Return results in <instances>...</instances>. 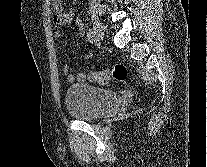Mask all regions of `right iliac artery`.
<instances>
[{"label":"right iliac artery","mask_w":207,"mask_h":167,"mask_svg":"<svg viewBox=\"0 0 207 167\" xmlns=\"http://www.w3.org/2000/svg\"><path fill=\"white\" fill-rule=\"evenodd\" d=\"M88 40L92 43L93 41H95V32L93 29H89L88 30V34H87Z\"/></svg>","instance_id":"1"}]
</instances>
